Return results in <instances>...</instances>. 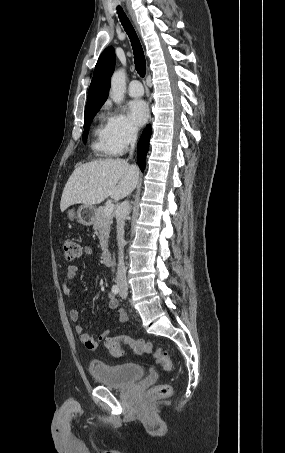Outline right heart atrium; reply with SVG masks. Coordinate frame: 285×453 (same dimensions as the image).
<instances>
[{"label": "right heart atrium", "instance_id": "obj_1", "mask_svg": "<svg viewBox=\"0 0 285 453\" xmlns=\"http://www.w3.org/2000/svg\"><path fill=\"white\" fill-rule=\"evenodd\" d=\"M106 129L112 155L124 153L137 139L136 126L121 113L107 115Z\"/></svg>", "mask_w": 285, "mask_h": 453}]
</instances>
